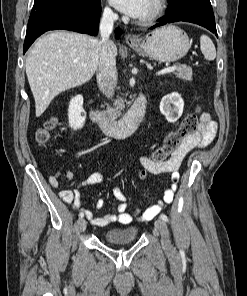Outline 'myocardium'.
Instances as JSON below:
<instances>
[{
    "label": "myocardium",
    "mask_w": 247,
    "mask_h": 296,
    "mask_svg": "<svg viewBox=\"0 0 247 296\" xmlns=\"http://www.w3.org/2000/svg\"><path fill=\"white\" fill-rule=\"evenodd\" d=\"M153 8L151 12L144 18L138 19L137 23L143 26L155 23L165 10V0H153Z\"/></svg>",
    "instance_id": "f54148a6"
}]
</instances>
